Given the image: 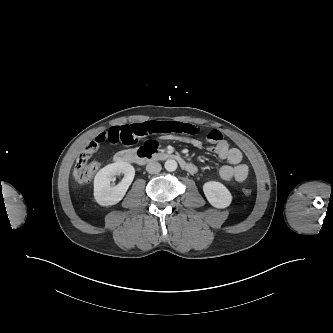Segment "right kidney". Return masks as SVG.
<instances>
[{
  "label": "right kidney",
  "mask_w": 333,
  "mask_h": 333,
  "mask_svg": "<svg viewBox=\"0 0 333 333\" xmlns=\"http://www.w3.org/2000/svg\"><path fill=\"white\" fill-rule=\"evenodd\" d=\"M124 174L122 181L111 186L115 176ZM135 175L134 167L126 162H115L103 167L94 178V197L100 206H112L120 202L131 185Z\"/></svg>",
  "instance_id": "obj_1"
}]
</instances>
